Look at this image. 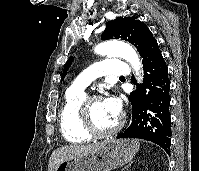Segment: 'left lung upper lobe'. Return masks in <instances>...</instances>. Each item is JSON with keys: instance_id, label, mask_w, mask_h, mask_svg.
<instances>
[{"instance_id": "left-lung-upper-lobe-1", "label": "left lung upper lobe", "mask_w": 199, "mask_h": 171, "mask_svg": "<svg viewBox=\"0 0 199 171\" xmlns=\"http://www.w3.org/2000/svg\"><path fill=\"white\" fill-rule=\"evenodd\" d=\"M113 38L123 39L134 44L140 55L143 50L155 40L148 27L134 16L124 18L120 17L116 18L114 21L106 23V28L101 36V39L108 40ZM72 61L73 57H70L65 65L63 77L65 76V73L70 67Z\"/></svg>"}]
</instances>
